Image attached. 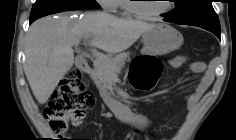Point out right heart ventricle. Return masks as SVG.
Masks as SVG:
<instances>
[{
	"instance_id": "e07e8e85",
	"label": "right heart ventricle",
	"mask_w": 236,
	"mask_h": 140,
	"mask_svg": "<svg viewBox=\"0 0 236 140\" xmlns=\"http://www.w3.org/2000/svg\"><path fill=\"white\" fill-rule=\"evenodd\" d=\"M114 3L116 8L121 9L124 14H129V10L127 8L128 0H115Z\"/></svg>"
}]
</instances>
